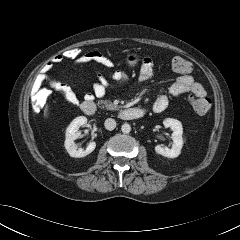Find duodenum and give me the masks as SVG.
<instances>
[{"label":"duodenum","mask_w":240,"mask_h":240,"mask_svg":"<svg viewBox=\"0 0 240 240\" xmlns=\"http://www.w3.org/2000/svg\"><path fill=\"white\" fill-rule=\"evenodd\" d=\"M81 110L87 115H93L96 110V104L91 100H85L81 104ZM145 115V110L138 107L121 109L118 112V117L122 120H136Z\"/></svg>","instance_id":"1"}]
</instances>
